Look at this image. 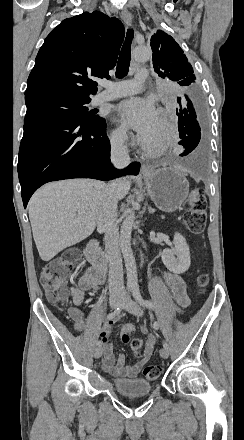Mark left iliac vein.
Wrapping results in <instances>:
<instances>
[{
	"label": "left iliac vein",
	"instance_id": "1",
	"mask_svg": "<svg viewBox=\"0 0 244 440\" xmlns=\"http://www.w3.org/2000/svg\"><path fill=\"white\" fill-rule=\"evenodd\" d=\"M121 306L127 310L128 312H130L131 314H134L136 316H142L143 312L141 310V308L139 307V305L130 297L128 296H123L122 297V303ZM160 355L162 358H168L169 357V351L166 348H161L160 349Z\"/></svg>",
	"mask_w": 244,
	"mask_h": 440
}]
</instances>
